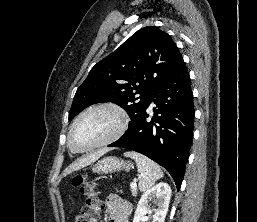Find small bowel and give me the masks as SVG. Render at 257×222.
Here are the masks:
<instances>
[{
    "instance_id": "1",
    "label": "small bowel",
    "mask_w": 257,
    "mask_h": 222,
    "mask_svg": "<svg viewBox=\"0 0 257 222\" xmlns=\"http://www.w3.org/2000/svg\"><path fill=\"white\" fill-rule=\"evenodd\" d=\"M106 211L109 213V222H129L128 218L132 208L130 203L115 195H109L105 203Z\"/></svg>"
}]
</instances>
